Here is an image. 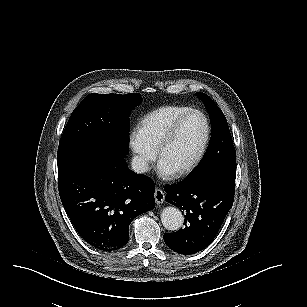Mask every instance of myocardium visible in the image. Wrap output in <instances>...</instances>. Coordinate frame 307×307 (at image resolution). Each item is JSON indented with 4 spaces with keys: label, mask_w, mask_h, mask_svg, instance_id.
I'll use <instances>...</instances> for the list:
<instances>
[{
    "label": "myocardium",
    "mask_w": 307,
    "mask_h": 307,
    "mask_svg": "<svg viewBox=\"0 0 307 307\" xmlns=\"http://www.w3.org/2000/svg\"><path fill=\"white\" fill-rule=\"evenodd\" d=\"M191 117H198L201 123V128L203 130L201 142L199 145V148L193 157V159L182 167H176L173 170V173L178 172H184L187 173L189 170H191L200 157L202 156L203 152L205 151L206 142H207V127H206V114L204 112H201L200 110H188L183 114H180L178 118H175L173 121V124L171 125L169 132L165 135V138L161 140V143L163 146L160 148L157 154V159L159 162L160 157L165 156V150L166 148H169L173 139V136L176 135V132L178 131V128H181L183 126V123L187 121L188 118ZM177 126V127H176Z\"/></svg>",
    "instance_id": "obj_1"
}]
</instances>
